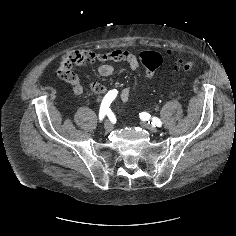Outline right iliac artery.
Here are the masks:
<instances>
[{
  "instance_id": "82829eb1",
  "label": "right iliac artery",
  "mask_w": 236,
  "mask_h": 236,
  "mask_svg": "<svg viewBox=\"0 0 236 236\" xmlns=\"http://www.w3.org/2000/svg\"><path fill=\"white\" fill-rule=\"evenodd\" d=\"M118 91L116 89L110 90L102 100L100 105L99 120L102 121L105 115L109 114L111 109L109 108L112 101L116 98Z\"/></svg>"
}]
</instances>
